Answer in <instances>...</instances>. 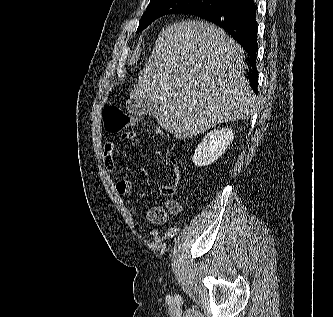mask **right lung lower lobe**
Listing matches in <instances>:
<instances>
[{"label":"right lung lower lobe","instance_id":"right-lung-lower-lobe-1","mask_svg":"<svg viewBox=\"0 0 333 317\" xmlns=\"http://www.w3.org/2000/svg\"><path fill=\"white\" fill-rule=\"evenodd\" d=\"M257 7L253 0H238L225 3L213 10L195 14L226 30L247 52L250 86L257 93L258 73L256 69Z\"/></svg>","mask_w":333,"mask_h":317}]
</instances>
